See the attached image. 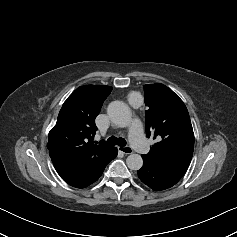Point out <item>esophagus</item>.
Here are the masks:
<instances>
[{
    "instance_id": "obj_1",
    "label": "esophagus",
    "mask_w": 237,
    "mask_h": 237,
    "mask_svg": "<svg viewBox=\"0 0 237 237\" xmlns=\"http://www.w3.org/2000/svg\"><path fill=\"white\" fill-rule=\"evenodd\" d=\"M119 151L126 154V155H129V154H132L133 153V150L131 147H128V146H124V147H118Z\"/></svg>"
}]
</instances>
